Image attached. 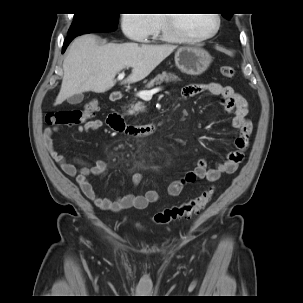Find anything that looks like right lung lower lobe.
<instances>
[{
	"label": "right lung lower lobe",
	"mask_w": 303,
	"mask_h": 303,
	"mask_svg": "<svg viewBox=\"0 0 303 303\" xmlns=\"http://www.w3.org/2000/svg\"><path fill=\"white\" fill-rule=\"evenodd\" d=\"M116 30V28L114 27H97V28H91L88 29L80 34H75V35H68L67 39L64 41V45H63V51L62 53H64V51L66 50L67 46L69 45V43L77 36L82 35V34H88V33H95V32H111Z\"/></svg>",
	"instance_id": "right-lung-lower-lobe-1"
}]
</instances>
